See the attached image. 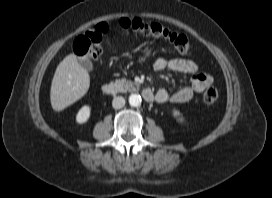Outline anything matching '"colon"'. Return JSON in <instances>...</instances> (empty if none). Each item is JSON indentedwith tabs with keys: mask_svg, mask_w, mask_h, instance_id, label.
Instances as JSON below:
<instances>
[{
	"mask_svg": "<svg viewBox=\"0 0 272 198\" xmlns=\"http://www.w3.org/2000/svg\"><path fill=\"white\" fill-rule=\"evenodd\" d=\"M121 27L126 31H131L145 37L163 39L169 42L179 53L192 54L193 49L187 37L181 33L174 32L158 23H145L138 18H124L120 21ZM108 26L99 23L91 30L79 36L74 42V52L82 58L96 61L101 52L100 41L107 33ZM218 98L217 90L208 87L203 94V102L207 106H212Z\"/></svg>",
	"mask_w": 272,
	"mask_h": 198,
	"instance_id": "1",
	"label": "colon"
}]
</instances>
